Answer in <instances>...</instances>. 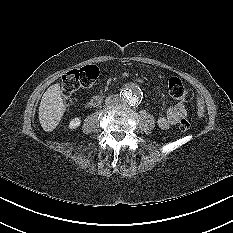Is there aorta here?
<instances>
[{
  "label": "aorta",
  "mask_w": 233,
  "mask_h": 233,
  "mask_svg": "<svg viewBox=\"0 0 233 233\" xmlns=\"http://www.w3.org/2000/svg\"><path fill=\"white\" fill-rule=\"evenodd\" d=\"M122 101L129 106H136L141 100L142 92L137 84L128 85L121 93Z\"/></svg>",
  "instance_id": "1"
}]
</instances>
